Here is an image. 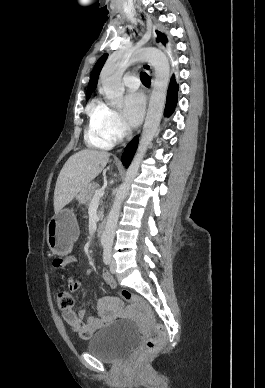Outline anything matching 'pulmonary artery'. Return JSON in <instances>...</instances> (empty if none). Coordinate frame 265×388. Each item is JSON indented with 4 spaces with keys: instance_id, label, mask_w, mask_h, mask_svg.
Returning a JSON list of instances; mask_svg holds the SVG:
<instances>
[{
    "instance_id": "obj_1",
    "label": "pulmonary artery",
    "mask_w": 265,
    "mask_h": 388,
    "mask_svg": "<svg viewBox=\"0 0 265 388\" xmlns=\"http://www.w3.org/2000/svg\"><path fill=\"white\" fill-rule=\"evenodd\" d=\"M125 86H129L128 92L130 94H135L138 89L139 80L136 79L135 75H128L126 79L123 81Z\"/></svg>"
}]
</instances>
